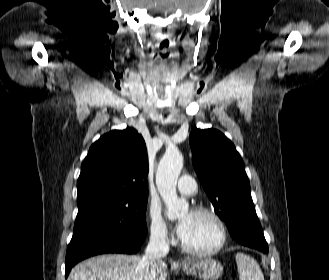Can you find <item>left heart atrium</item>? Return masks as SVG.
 Wrapping results in <instances>:
<instances>
[{
	"instance_id": "39dd6f15",
	"label": "left heart atrium",
	"mask_w": 329,
	"mask_h": 280,
	"mask_svg": "<svg viewBox=\"0 0 329 280\" xmlns=\"http://www.w3.org/2000/svg\"><path fill=\"white\" fill-rule=\"evenodd\" d=\"M187 220H181L177 225V233L181 237L186 229Z\"/></svg>"
}]
</instances>
